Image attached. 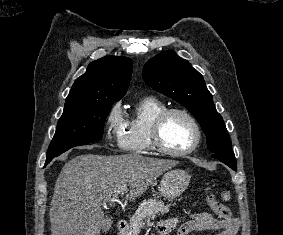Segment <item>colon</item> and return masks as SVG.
Returning a JSON list of instances; mask_svg holds the SVG:
<instances>
[{
	"label": "colon",
	"instance_id": "colon-1",
	"mask_svg": "<svg viewBox=\"0 0 283 235\" xmlns=\"http://www.w3.org/2000/svg\"><path fill=\"white\" fill-rule=\"evenodd\" d=\"M207 203L211 210L222 220L228 221L231 219V210L228 206L219 202L213 194H208L206 197Z\"/></svg>",
	"mask_w": 283,
	"mask_h": 235
}]
</instances>
